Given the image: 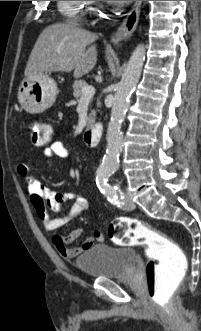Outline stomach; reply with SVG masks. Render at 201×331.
Instances as JSON below:
<instances>
[{"mask_svg": "<svg viewBox=\"0 0 201 331\" xmlns=\"http://www.w3.org/2000/svg\"><path fill=\"white\" fill-rule=\"evenodd\" d=\"M56 82L47 75L26 77L18 89V101L31 114H39L50 108L58 95Z\"/></svg>", "mask_w": 201, "mask_h": 331, "instance_id": "obj_1", "label": "stomach"}]
</instances>
